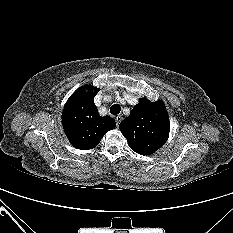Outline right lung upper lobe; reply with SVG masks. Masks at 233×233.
I'll return each instance as SVG.
<instances>
[{
  "instance_id": "right-lung-upper-lobe-1",
  "label": "right lung upper lobe",
  "mask_w": 233,
  "mask_h": 233,
  "mask_svg": "<svg viewBox=\"0 0 233 233\" xmlns=\"http://www.w3.org/2000/svg\"><path fill=\"white\" fill-rule=\"evenodd\" d=\"M98 91L90 85L83 86L71 95L64 106V132L77 149L94 148L109 130L116 127L114 119L99 115L94 104V97Z\"/></svg>"
}]
</instances>
